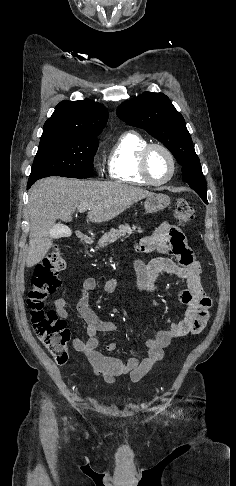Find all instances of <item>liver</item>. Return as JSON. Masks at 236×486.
Returning <instances> with one entry per match:
<instances>
[{
    "label": "liver",
    "instance_id": "obj_1",
    "mask_svg": "<svg viewBox=\"0 0 236 486\" xmlns=\"http://www.w3.org/2000/svg\"><path fill=\"white\" fill-rule=\"evenodd\" d=\"M151 195L153 193L145 189L117 182L60 177L37 181L29 194L30 233L26 266L39 263L51 248L57 219L69 222L76 209L86 208L89 221L106 222Z\"/></svg>",
    "mask_w": 236,
    "mask_h": 486
}]
</instances>
